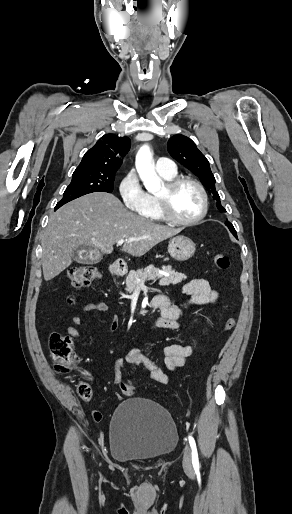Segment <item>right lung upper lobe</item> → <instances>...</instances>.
Instances as JSON below:
<instances>
[{
	"label": "right lung upper lobe",
	"mask_w": 292,
	"mask_h": 514,
	"mask_svg": "<svg viewBox=\"0 0 292 514\" xmlns=\"http://www.w3.org/2000/svg\"><path fill=\"white\" fill-rule=\"evenodd\" d=\"M130 145V139L126 136L104 135L84 154L81 163L73 174L115 176L123 162L122 158L130 149Z\"/></svg>",
	"instance_id": "right-lung-upper-lobe-1"
}]
</instances>
